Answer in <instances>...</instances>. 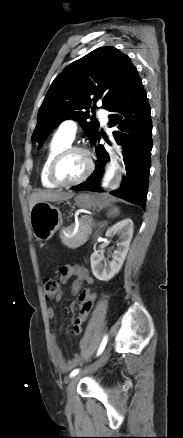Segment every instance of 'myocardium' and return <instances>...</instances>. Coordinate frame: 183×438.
<instances>
[{
    "instance_id": "obj_1",
    "label": "myocardium",
    "mask_w": 183,
    "mask_h": 438,
    "mask_svg": "<svg viewBox=\"0 0 183 438\" xmlns=\"http://www.w3.org/2000/svg\"><path fill=\"white\" fill-rule=\"evenodd\" d=\"M74 152H79L81 154H83L85 156L86 159V167H85V171L84 173L76 180L72 181V182H62L59 181L56 178V169L57 166L59 164V162L67 155L74 153ZM94 170V160L92 158V155L90 153V151L83 147V146H77V145H69L65 148H63L62 150H60L52 159L49 168H48V179L49 181L55 185L56 187H73V186H77L83 182H85L90 175L92 174Z\"/></svg>"
}]
</instances>
